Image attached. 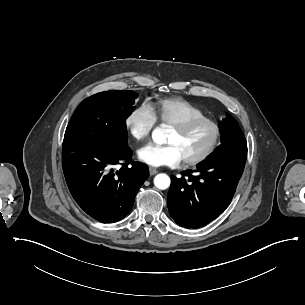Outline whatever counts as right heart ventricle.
<instances>
[{"mask_svg": "<svg viewBox=\"0 0 305 305\" xmlns=\"http://www.w3.org/2000/svg\"><path fill=\"white\" fill-rule=\"evenodd\" d=\"M149 107L157 121L174 124L187 119L206 116V114L185 99L165 97L152 100Z\"/></svg>", "mask_w": 305, "mask_h": 305, "instance_id": "e07e8e85", "label": "right heart ventricle"}]
</instances>
